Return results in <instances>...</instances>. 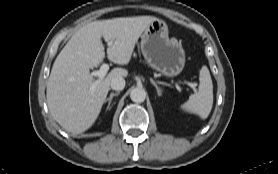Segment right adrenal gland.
Here are the masks:
<instances>
[{
	"label": "right adrenal gland",
	"instance_id": "2a0ac1e0",
	"mask_svg": "<svg viewBox=\"0 0 278 174\" xmlns=\"http://www.w3.org/2000/svg\"><path fill=\"white\" fill-rule=\"evenodd\" d=\"M119 94H120V92H116V93L111 92L110 96L107 99H105L104 103L108 102L107 110L111 109L110 104H111L113 97L118 96Z\"/></svg>",
	"mask_w": 278,
	"mask_h": 174
}]
</instances>
